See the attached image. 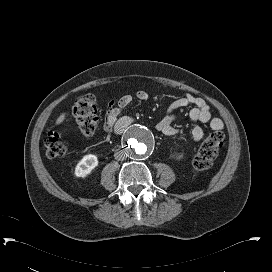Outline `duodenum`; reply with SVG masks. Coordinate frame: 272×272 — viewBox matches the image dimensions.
<instances>
[{
  "mask_svg": "<svg viewBox=\"0 0 272 272\" xmlns=\"http://www.w3.org/2000/svg\"><path fill=\"white\" fill-rule=\"evenodd\" d=\"M125 126H126L125 122H117L115 124V126L113 127V132L115 134H120L123 131V129L125 128Z\"/></svg>",
  "mask_w": 272,
  "mask_h": 272,
  "instance_id": "obj_1",
  "label": "duodenum"
}]
</instances>
